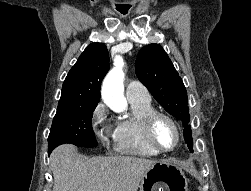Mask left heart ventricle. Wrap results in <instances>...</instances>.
Returning <instances> with one entry per match:
<instances>
[{"label":"left heart ventricle","instance_id":"1","mask_svg":"<svg viewBox=\"0 0 251 191\" xmlns=\"http://www.w3.org/2000/svg\"><path fill=\"white\" fill-rule=\"evenodd\" d=\"M153 137L157 146L163 151L173 150L179 141L174 126L165 118H158L154 124Z\"/></svg>","mask_w":251,"mask_h":191}]
</instances>
